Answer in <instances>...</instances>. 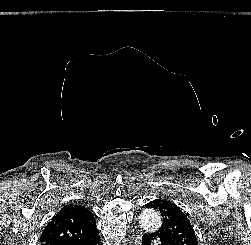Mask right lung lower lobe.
I'll return each instance as SVG.
<instances>
[{
    "label": "right lung lower lobe",
    "instance_id": "obj_1",
    "mask_svg": "<svg viewBox=\"0 0 251 245\" xmlns=\"http://www.w3.org/2000/svg\"><path fill=\"white\" fill-rule=\"evenodd\" d=\"M63 245H100V237L97 234L93 238L87 240L67 242Z\"/></svg>",
    "mask_w": 251,
    "mask_h": 245
}]
</instances>
